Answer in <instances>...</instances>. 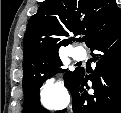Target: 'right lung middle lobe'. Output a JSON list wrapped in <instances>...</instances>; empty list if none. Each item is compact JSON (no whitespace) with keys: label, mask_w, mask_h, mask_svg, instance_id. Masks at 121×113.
<instances>
[{"label":"right lung middle lobe","mask_w":121,"mask_h":113,"mask_svg":"<svg viewBox=\"0 0 121 113\" xmlns=\"http://www.w3.org/2000/svg\"><path fill=\"white\" fill-rule=\"evenodd\" d=\"M59 54L44 57L30 66L23 68L24 113H48L39 102V89L42 83L57 73L64 72L67 85L74 71L62 69Z\"/></svg>","instance_id":"dd1d6c3e"}]
</instances>
